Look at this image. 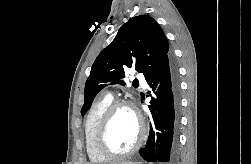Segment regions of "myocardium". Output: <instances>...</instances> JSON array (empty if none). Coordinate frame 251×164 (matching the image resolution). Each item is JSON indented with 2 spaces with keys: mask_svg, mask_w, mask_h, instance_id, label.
<instances>
[{
  "mask_svg": "<svg viewBox=\"0 0 251 164\" xmlns=\"http://www.w3.org/2000/svg\"><path fill=\"white\" fill-rule=\"evenodd\" d=\"M120 108H128L132 111L134 114L137 123H138V138L135 144L127 151L124 152H116L113 151L107 144V134L109 130L110 123L112 121V118L116 111ZM145 138V124L138 113V111L135 109L134 105L126 100H115L113 101L105 110L104 114L102 115L95 135V145L98 150V152L106 157L107 159H121L128 156H131L135 152H137L140 147L142 146V143Z\"/></svg>",
  "mask_w": 251,
  "mask_h": 164,
  "instance_id": "f54148a6",
  "label": "myocardium"
}]
</instances>
